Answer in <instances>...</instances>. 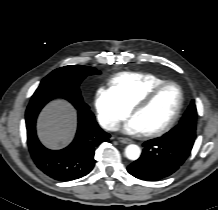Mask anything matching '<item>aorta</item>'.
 Listing matches in <instances>:
<instances>
[{
  "label": "aorta",
  "instance_id": "aorta-1",
  "mask_svg": "<svg viewBox=\"0 0 218 210\" xmlns=\"http://www.w3.org/2000/svg\"><path fill=\"white\" fill-rule=\"evenodd\" d=\"M141 149L138 145L130 144L125 148V156L129 160H137L140 157Z\"/></svg>",
  "mask_w": 218,
  "mask_h": 210
}]
</instances>
